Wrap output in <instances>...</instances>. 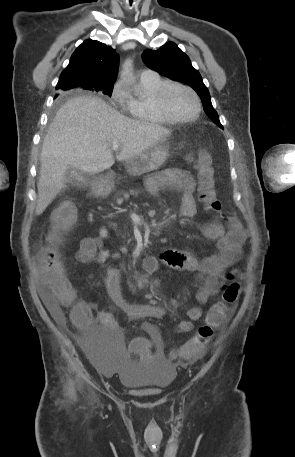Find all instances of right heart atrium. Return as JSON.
<instances>
[{
    "label": "right heart atrium",
    "mask_w": 295,
    "mask_h": 457,
    "mask_svg": "<svg viewBox=\"0 0 295 457\" xmlns=\"http://www.w3.org/2000/svg\"><path fill=\"white\" fill-rule=\"evenodd\" d=\"M113 101L121 108H127L129 104V95L125 90L122 82H117L111 92Z\"/></svg>",
    "instance_id": "1"
}]
</instances>
